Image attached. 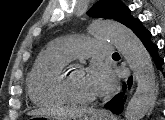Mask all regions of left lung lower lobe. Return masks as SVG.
<instances>
[{"instance_id": "0a47b994", "label": "left lung lower lobe", "mask_w": 165, "mask_h": 120, "mask_svg": "<svg viewBox=\"0 0 165 120\" xmlns=\"http://www.w3.org/2000/svg\"><path fill=\"white\" fill-rule=\"evenodd\" d=\"M130 29L137 35V37L141 40V42L144 44L145 48L148 50L150 55L153 57L155 64L160 69L161 64L163 63V59H161L158 56V47L156 44H154L150 37L151 33L148 31L141 23L139 19H135L133 23L130 26ZM132 85V77L128 79V88H130ZM123 89H126V85H123ZM124 93H119L116 95L109 103L105 105V108H108L112 111L114 114H120L123 105H124Z\"/></svg>"}]
</instances>
